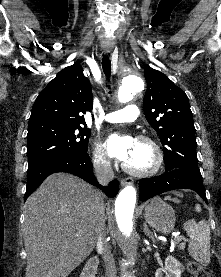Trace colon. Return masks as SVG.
I'll use <instances>...</instances> for the list:
<instances>
[{"instance_id":"obj_1","label":"colon","mask_w":221,"mask_h":277,"mask_svg":"<svg viewBox=\"0 0 221 277\" xmlns=\"http://www.w3.org/2000/svg\"><path fill=\"white\" fill-rule=\"evenodd\" d=\"M187 269L194 277H214L208 268L194 261H189L187 263Z\"/></svg>"}]
</instances>
